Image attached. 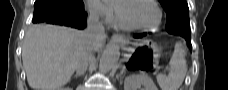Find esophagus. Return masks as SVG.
<instances>
[{
  "instance_id": "obj_1",
  "label": "esophagus",
  "mask_w": 228,
  "mask_h": 90,
  "mask_svg": "<svg viewBox=\"0 0 228 90\" xmlns=\"http://www.w3.org/2000/svg\"><path fill=\"white\" fill-rule=\"evenodd\" d=\"M112 38L117 42H124L125 38L120 34H114Z\"/></svg>"
}]
</instances>
